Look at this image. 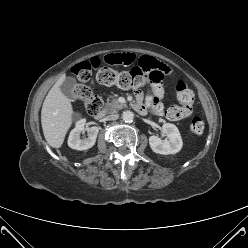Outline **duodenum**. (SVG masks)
<instances>
[{
  "label": "duodenum",
  "instance_id": "obj_1",
  "mask_svg": "<svg viewBox=\"0 0 248 248\" xmlns=\"http://www.w3.org/2000/svg\"><path fill=\"white\" fill-rule=\"evenodd\" d=\"M134 109L140 113V114H143L145 112V110L142 108L141 105L139 104H135L134 105ZM104 117V111L100 110L99 112H97L96 114H94V118L95 119H102Z\"/></svg>",
  "mask_w": 248,
  "mask_h": 248
}]
</instances>
